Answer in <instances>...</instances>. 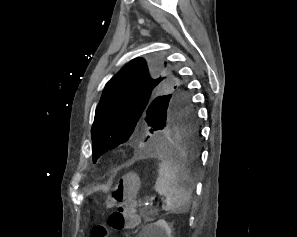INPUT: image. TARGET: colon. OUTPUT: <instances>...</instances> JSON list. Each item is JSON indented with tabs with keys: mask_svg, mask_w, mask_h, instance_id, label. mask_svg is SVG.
<instances>
[{
	"mask_svg": "<svg viewBox=\"0 0 297 237\" xmlns=\"http://www.w3.org/2000/svg\"><path fill=\"white\" fill-rule=\"evenodd\" d=\"M137 182L135 175H128L110 189L105 206L112 208L113 211L107 226L97 225L92 229V237H106L108 229H132L139 224V217L135 210Z\"/></svg>",
	"mask_w": 297,
	"mask_h": 237,
	"instance_id": "1",
	"label": "colon"
}]
</instances>
